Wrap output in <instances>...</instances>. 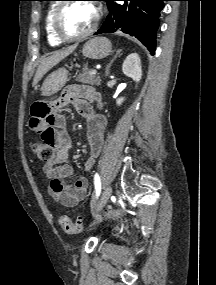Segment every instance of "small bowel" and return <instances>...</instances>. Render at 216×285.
<instances>
[{
	"label": "small bowel",
	"instance_id": "c3829d8e",
	"mask_svg": "<svg viewBox=\"0 0 216 285\" xmlns=\"http://www.w3.org/2000/svg\"><path fill=\"white\" fill-rule=\"evenodd\" d=\"M93 101L101 106V97L93 87L72 85L53 102L36 101L31 108L32 133L40 136V141L49 144L54 150L52 159L43 166V172L49 179L48 193L54 201L66 207H73L85 198L89 182L84 176L71 179L74 174L73 168L69 165L72 140L66 132V117L58 110L73 105L86 119L91 157L87 160L85 168L90 170L102 151L107 124L106 118L93 109Z\"/></svg>",
	"mask_w": 216,
	"mask_h": 285
}]
</instances>
